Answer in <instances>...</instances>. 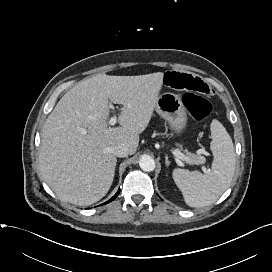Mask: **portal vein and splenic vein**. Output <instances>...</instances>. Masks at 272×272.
Wrapping results in <instances>:
<instances>
[{
  "label": "portal vein and splenic vein",
  "instance_id": "1",
  "mask_svg": "<svg viewBox=\"0 0 272 272\" xmlns=\"http://www.w3.org/2000/svg\"><path fill=\"white\" fill-rule=\"evenodd\" d=\"M117 122V117L116 116H113L110 120H109V125H114L115 123ZM172 154L174 156H176L177 158L181 159L182 161H185L187 163H190V160L189 158L184 155L183 153H181L180 151L178 150H172ZM202 171L204 173H207L209 170L205 167V166H202Z\"/></svg>",
  "mask_w": 272,
  "mask_h": 272
}]
</instances>
